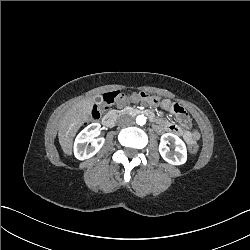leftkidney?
<instances>
[{
  "mask_svg": "<svg viewBox=\"0 0 250 250\" xmlns=\"http://www.w3.org/2000/svg\"><path fill=\"white\" fill-rule=\"evenodd\" d=\"M174 143L177 145L175 148L176 155H172L169 148L166 147L167 143ZM161 156L165 161L174 164L180 165L185 163L187 154H186V146L184 142L175 134L165 133L160 138L159 148H158Z\"/></svg>",
  "mask_w": 250,
  "mask_h": 250,
  "instance_id": "1",
  "label": "left kidney"
}]
</instances>
